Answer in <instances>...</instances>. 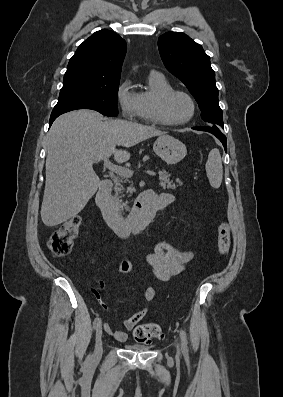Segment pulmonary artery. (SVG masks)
Masks as SVG:
<instances>
[{
    "label": "pulmonary artery",
    "instance_id": "1",
    "mask_svg": "<svg viewBox=\"0 0 283 397\" xmlns=\"http://www.w3.org/2000/svg\"><path fill=\"white\" fill-rule=\"evenodd\" d=\"M151 74H159L158 72H156V71H152L151 72Z\"/></svg>",
    "mask_w": 283,
    "mask_h": 397
}]
</instances>
